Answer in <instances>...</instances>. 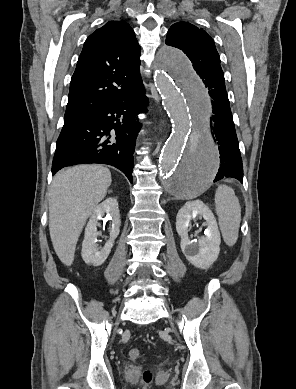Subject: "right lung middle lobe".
<instances>
[{
  "instance_id": "obj_1",
  "label": "right lung middle lobe",
  "mask_w": 296,
  "mask_h": 389,
  "mask_svg": "<svg viewBox=\"0 0 296 389\" xmlns=\"http://www.w3.org/2000/svg\"><path fill=\"white\" fill-rule=\"evenodd\" d=\"M69 122H71V121H66V120H64V125H65V124H68Z\"/></svg>"
}]
</instances>
